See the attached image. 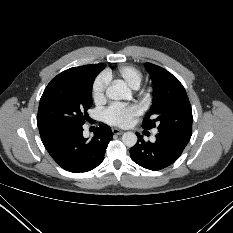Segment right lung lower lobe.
<instances>
[{
  "label": "right lung lower lobe",
  "instance_id": "right-lung-lower-lobe-1",
  "mask_svg": "<svg viewBox=\"0 0 233 233\" xmlns=\"http://www.w3.org/2000/svg\"><path fill=\"white\" fill-rule=\"evenodd\" d=\"M82 126L50 131L42 134L41 140L56 163L73 172H87L97 167L104 159L112 131L102 124L87 141L82 135Z\"/></svg>",
  "mask_w": 233,
  "mask_h": 233
}]
</instances>
